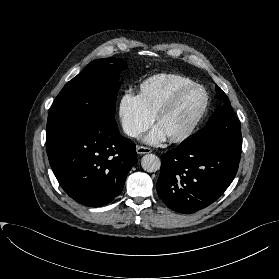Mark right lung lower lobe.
<instances>
[{
  "label": "right lung lower lobe",
  "instance_id": "right-lung-lower-lobe-1",
  "mask_svg": "<svg viewBox=\"0 0 279 279\" xmlns=\"http://www.w3.org/2000/svg\"><path fill=\"white\" fill-rule=\"evenodd\" d=\"M51 168L63 190L76 202L99 207L122 191L136 163L133 141L116 122L91 120L46 140Z\"/></svg>",
  "mask_w": 279,
  "mask_h": 279
}]
</instances>
